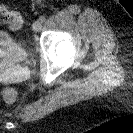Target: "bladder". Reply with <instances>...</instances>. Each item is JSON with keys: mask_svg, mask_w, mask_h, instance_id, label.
I'll use <instances>...</instances> for the list:
<instances>
[{"mask_svg": "<svg viewBox=\"0 0 133 133\" xmlns=\"http://www.w3.org/2000/svg\"><path fill=\"white\" fill-rule=\"evenodd\" d=\"M28 56V49L17 38L0 29V63L24 62Z\"/></svg>", "mask_w": 133, "mask_h": 133, "instance_id": "bladder-1", "label": "bladder"}]
</instances>
